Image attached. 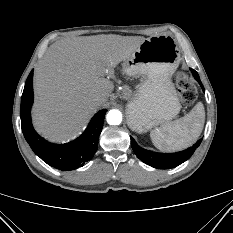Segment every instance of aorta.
I'll list each match as a JSON object with an SVG mask.
<instances>
[{
  "instance_id": "aorta-1",
  "label": "aorta",
  "mask_w": 233,
  "mask_h": 233,
  "mask_svg": "<svg viewBox=\"0 0 233 233\" xmlns=\"http://www.w3.org/2000/svg\"><path fill=\"white\" fill-rule=\"evenodd\" d=\"M106 119L110 125H119L122 122V113L116 109L110 110Z\"/></svg>"
}]
</instances>
